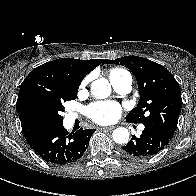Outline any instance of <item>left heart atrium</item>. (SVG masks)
<instances>
[{"label":"left heart atrium","mask_w":196,"mask_h":196,"mask_svg":"<svg viewBox=\"0 0 196 196\" xmlns=\"http://www.w3.org/2000/svg\"><path fill=\"white\" fill-rule=\"evenodd\" d=\"M88 117L98 124H109L121 113V108L114 101H100L89 105L86 109Z\"/></svg>","instance_id":"1"}]
</instances>
